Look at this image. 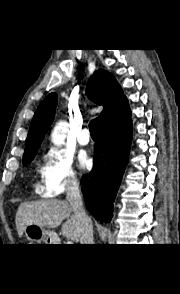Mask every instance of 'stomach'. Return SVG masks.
<instances>
[{
  "label": "stomach",
  "instance_id": "obj_1",
  "mask_svg": "<svg viewBox=\"0 0 180 294\" xmlns=\"http://www.w3.org/2000/svg\"><path fill=\"white\" fill-rule=\"evenodd\" d=\"M24 234L31 244H42V242L52 244L48 243L49 239L56 237L54 232L47 231L44 227L33 223L25 227Z\"/></svg>",
  "mask_w": 180,
  "mask_h": 294
}]
</instances>
